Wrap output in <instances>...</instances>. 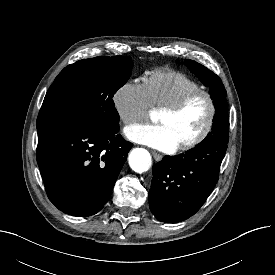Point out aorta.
I'll list each match as a JSON object with an SVG mask.
<instances>
[{
    "label": "aorta",
    "instance_id": "1",
    "mask_svg": "<svg viewBox=\"0 0 275 275\" xmlns=\"http://www.w3.org/2000/svg\"><path fill=\"white\" fill-rule=\"evenodd\" d=\"M129 165L137 173L148 171L151 166L149 152L142 148L133 149L129 154Z\"/></svg>",
    "mask_w": 275,
    "mask_h": 275
}]
</instances>
